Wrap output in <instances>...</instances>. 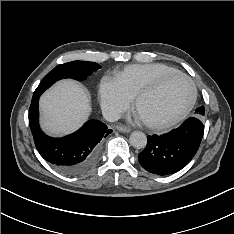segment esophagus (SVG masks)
<instances>
[{
	"mask_svg": "<svg viewBox=\"0 0 234 234\" xmlns=\"http://www.w3.org/2000/svg\"><path fill=\"white\" fill-rule=\"evenodd\" d=\"M116 129H117L119 132H123V133H129V132H131V129H130L129 127L124 126V125H121V124L117 125V126H116Z\"/></svg>",
	"mask_w": 234,
	"mask_h": 234,
	"instance_id": "obj_1",
	"label": "esophagus"
}]
</instances>
